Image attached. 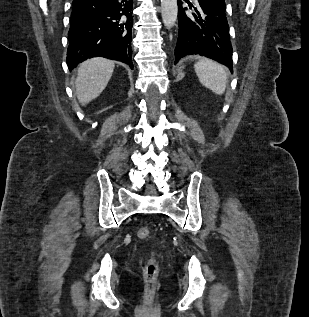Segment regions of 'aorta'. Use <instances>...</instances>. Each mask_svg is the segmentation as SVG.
<instances>
[{
	"label": "aorta",
	"instance_id": "1",
	"mask_svg": "<svg viewBox=\"0 0 309 317\" xmlns=\"http://www.w3.org/2000/svg\"><path fill=\"white\" fill-rule=\"evenodd\" d=\"M177 0H161V15L166 28L174 26L177 20Z\"/></svg>",
	"mask_w": 309,
	"mask_h": 317
}]
</instances>
